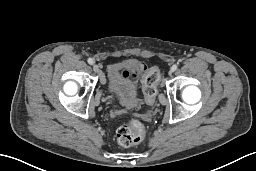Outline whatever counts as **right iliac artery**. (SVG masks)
Masks as SVG:
<instances>
[{
	"label": "right iliac artery",
	"instance_id": "82829eb1",
	"mask_svg": "<svg viewBox=\"0 0 256 171\" xmlns=\"http://www.w3.org/2000/svg\"><path fill=\"white\" fill-rule=\"evenodd\" d=\"M88 63H89L90 65H92V64L94 63V60H93L92 58H89V59H88Z\"/></svg>",
	"mask_w": 256,
	"mask_h": 171
}]
</instances>
